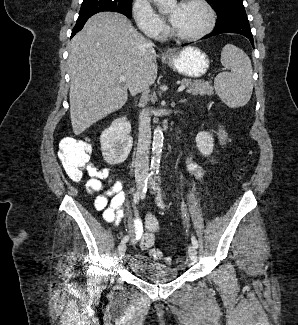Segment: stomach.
I'll return each instance as SVG.
<instances>
[{
  "label": "stomach",
  "instance_id": "0dacf381",
  "mask_svg": "<svg viewBox=\"0 0 298 325\" xmlns=\"http://www.w3.org/2000/svg\"><path fill=\"white\" fill-rule=\"evenodd\" d=\"M165 62L174 72L188 78H199L210 68L207 52L198 46H184L180 50H175L170 56H165Z\"/></svg>",
  "mask_w": 298,
  "mask_h": 325
}]
</instances>
